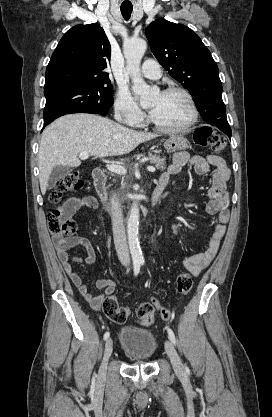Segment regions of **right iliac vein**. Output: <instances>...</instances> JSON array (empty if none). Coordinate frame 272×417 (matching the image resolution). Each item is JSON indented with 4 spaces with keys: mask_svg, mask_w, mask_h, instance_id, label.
I'll return each instance as SVG.
<instances>
[{
    "mask_svg": "<svg viewBox=\"0 0 272 417\" xmlns=\"http://www.w3.org/2000/svg\"><path fill=\"white\" fill-rule=\"evenodd\" d=\"M113 351V342L112 339L109 338L107 339L106 343H105V349H104V356H103V361H102V365L100 368V375L104 376L106 373V368H107V363L108 360L112 354Z\"/></svg>",
    "mask_w": 272,
    "mask_h": 417,
    "instance_id": "63e3f726",
    "label": "right iliac vein"
}]
</instances>
